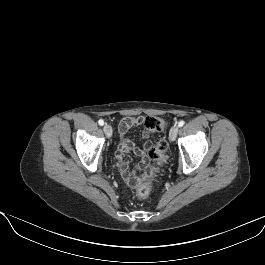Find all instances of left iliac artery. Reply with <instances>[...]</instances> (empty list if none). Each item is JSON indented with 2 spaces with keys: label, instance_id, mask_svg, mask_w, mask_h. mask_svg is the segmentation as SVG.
Listing matches in <instances>:
<instances>
[{
  "label": "left iliac artery",
  "instance_id": "1",
  "mask_svg": "<svg viewBox=\"0 0 265 265\" xmlns=\"http://www.w3.org/2000/svg\"><path fill=\"white\" fill-rule=\"evenodd\" d=\"M184 124H185V121H184V120H181V121L178 123V127H182Z\"/></svg>",
  "mask_w": 265,
  "mask_h": 265
}]
</instances>
